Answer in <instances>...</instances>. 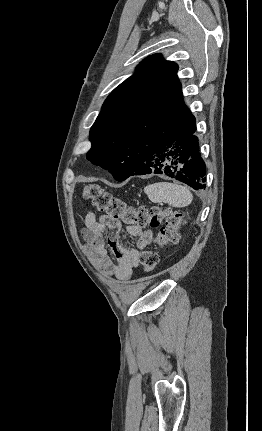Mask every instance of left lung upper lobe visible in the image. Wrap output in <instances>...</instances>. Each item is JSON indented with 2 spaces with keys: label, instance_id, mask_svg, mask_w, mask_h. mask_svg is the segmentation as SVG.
Segmentation results:
<instances>
[{
  "label": "left lung upper lobe",
  "instance_id": "obj_1",
  "mask_svg": "<svg viewBox=\"0 0 262 431\" xmlns=\"http://www.w3.org/2000/svg\"><path fill=\"white\" fill-rule=\"evenodd\" d=\"M177 70V64L155 54L111 92L90 129V162L123 181L132 174L138 156L195 123L183 102Z\"/></svg>",
  "mask_w": 262,
  "mask_h": 431
}]
</instances>
